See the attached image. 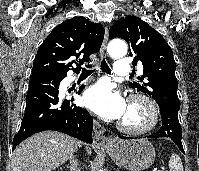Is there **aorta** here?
<instances>
[{
    "instance_id": "1",
    "label": "aorta",
    "mask_w": 199,
    "mask_h": 171,
    "mask_svg": "<svg viewBox=\"0 0 199 171\" xmlns=\"http://www.w3.org/2000/svg\"><path fill=\"white\" fill-rule=\"evenodd\" d=\"M108 53L114 58L123 57L127 53V45L124 41L115 39L108 44Z\"/></svg>"
}]
</instances>
